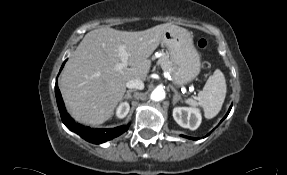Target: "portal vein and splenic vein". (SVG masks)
<instances>
[{"label":"portal vein and splenic vein","instance_id":"1","mask_svg":"<svg viewBox=\"0 0 287 175\" xmlns=\"http://www.w3.org/2000/svg\"><path fill=\"white\" fill-rule=\"evenodd\" d=\"M118 53H119V56L121 58V62L116 65V68L121 70V69H124L128 66L127 60H128L129 54L123 47L119 48Z\"/></svg>","mask_w":287,"mask_h":175}]
</instances>
